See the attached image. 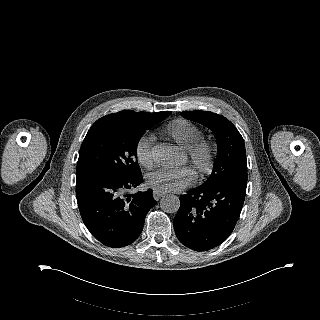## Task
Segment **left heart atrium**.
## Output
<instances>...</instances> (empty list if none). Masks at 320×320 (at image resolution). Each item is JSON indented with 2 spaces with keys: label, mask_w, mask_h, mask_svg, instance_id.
Listing matches in <instances>:
<instances>
[{
  "label": "left heart atrium",
  "mask_w": 320,
  "mask_h": 320,
  "mask_svg": "<svg viewBox=\"0 0 320 320\" xmlns=\"http://www.w3.org/2000/svg\"><path fill=\"white\" fill-rule=\"evenodd\" d=\"M190 180L185 169H159L151 175L152 183L162 190H175Z\"/></svg>",
  "instance_id": "left-heart-atrium-1"
}]
</instances>
